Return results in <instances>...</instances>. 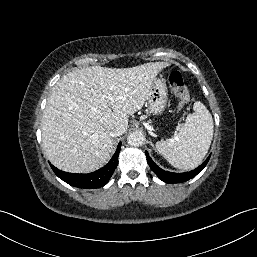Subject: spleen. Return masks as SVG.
<instances>
[{
    "label": "spleen",
    "instance_id": "spleen-1",
    "mask_svg": "<svg viewBox=\"0 0 257 257\" xmlns=\"http://www.w3.org/2000/svg\"><path fill=\"white\" fill-rule=\"evenodd\" d=\"M179 132L167 141L156 143L157 151L174 167L189 170L197 167L207 154L213 138V119L205 105H193Z\"/></svg>",
    "mask_w": 257,
    "mask_h": 257
}]
</instances>
